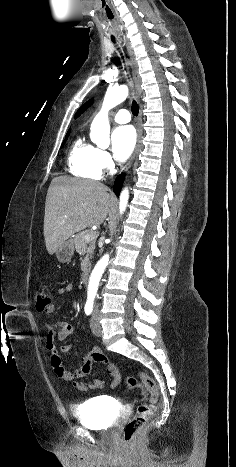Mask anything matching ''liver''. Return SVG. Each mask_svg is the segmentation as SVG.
Here are the masks:
<instances>
[{
	"label": "liver",
	"instance_id": "obj_1",
	"mask_svg": "<svg viewBox=\"0 0 236 467\" xmlns=\"http://www.w3.org/2000/svg\"><path fill=\"white\" fill-rule=\"evenodd\" d=\"M111 202L108 188L100 182L54 178L45 202L44 237L48 253L53 255L76 232L101 225Z\"/></svg>",
	"mask_w": 236,
	"mask_h": 467
}]
</instances>
